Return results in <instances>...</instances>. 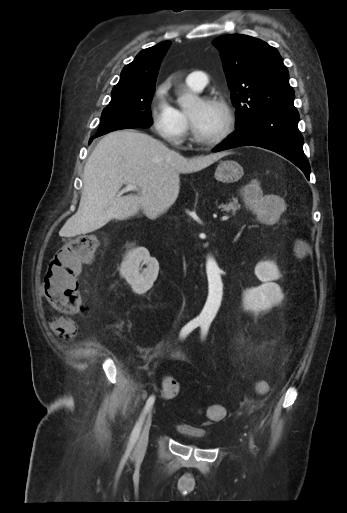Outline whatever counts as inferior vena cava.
<instances>
[{
  "mask_svg": "<svg viewBox=\"0 0 347 513\" xmlns=\"http://www.w3.org/2000/svg\"><path fill=\"white\" fill-rule=\"evenodd\" d=\"M172 205V202H166L164 204L163 210H167Z\"/></svg>",
  "mask_w": 347,
  "mask_h": 513,
  "instance_id": "inferior-vena-cava-1",
  "label": "inferior vena cava"
}]
</instances>
